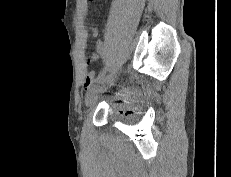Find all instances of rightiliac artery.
<instances>
[{
	"mask_svg": "<svg viewBox=\"0 0 231 177\" xmlns=\"http://www.w3.org/2000/svg\"><path fill=\"white\" fill-rule=\"evenodd\" d=\"M106 69H103L100 74L98 75L97 79H96V83H101L102 80L104 79L105 73H106Z\"/></svg>",
	"mask_w": 231,
	"mask_h": 177,
	"instance_id": "1",
	"label": "right iliac artery"
}]
</instances>
